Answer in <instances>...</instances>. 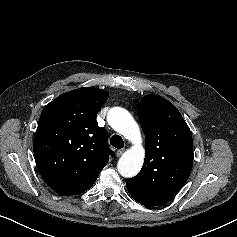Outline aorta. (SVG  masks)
<instances>
[{
  "instance_id": "762f6f07",
  "label": "aorta",
  "mask_w": 237,
  "mask_h": 237,
  "mask_svg": "<svg viewBox=\"0 0 237 237\" xmlns=\"http://www.w3.org/2000/svg\"><path fill=\"white\" fill-rule=\"evenodd\" d=\"M107 121L116 132L133 143V146L119 159L117 169L123 177H134L144 162V147L139 126L131 114L121 107L111 108L107 114Z\"/></svg>"
}]
</instances>
